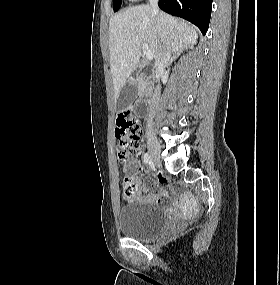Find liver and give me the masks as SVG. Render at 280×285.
Here are the masks:
<instances>
[{"instance_id": "liver-1", "label": "liver", "mask_w": 280, "mask_h": 285, "mask_svg": "<svg viewBox=\"0 0 280 285\" xmlns=\"http://www.w3.org/2000/svg\"><path fill=\"white\" fill-rule=\"evenodd\" d=\"M197 37L193 26L167 13L160 12L159 21L149 5L130 7L112 17L109 23V59L115 101L139 63L143 43L148 44L156 60L163 46L179 55L184 48L193 46Z\"/></svg>"}]
</instances>
